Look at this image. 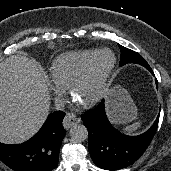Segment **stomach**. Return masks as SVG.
I'll return each instance as SVG.
<instances>
[{
	"label": "stomach",
	"mask_w": 171,
	"mask_h": 171,
	"mask_svg": "<svg viewBox=\"0 0 171 171\" xmlns=\"http://www.w3.org/2000/svg\"><path fill=\"white\" fill-rule=\"evenodd\" d=\"M106 97L109 117L113 123L125 124L136 118L137 108L125 89L112 87Z\"/></svg>",
	"instance_id": "1"
}]
</instances>
